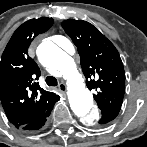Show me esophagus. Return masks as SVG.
<instances>
[{"mask_svg":"<svg viewBox=\"0 0 147 147\" xmlns=\"http://www.w3.org/2000/svg\"><path fill=\"white\" fill-rule=\"evenodd\" d=\"M58 88H59V90H60L61 92H63V93H66V92H67V86H66L65 83H60V84L58 85Z\"/></svg>","mask_w":147,"mask_h":147,"instance_id":"esophagus-1","label":"esophagus"}]
</instances>
